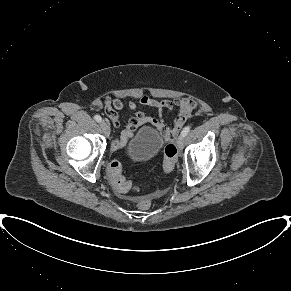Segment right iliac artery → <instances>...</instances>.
<instances>
[{
    "mask_svg": "<svg viewBox=\"0 0 291 291\" xmlns=\"http://www.w3.org/2000/svg\"><path fill=\"white\" fill-rule=\"evenodd\" d=\"M94 119H95L97 122H101V121H102V118H101V116H99V115H95V116H94Z\"/></svg>",
    "mask_w": 291,
    "mask_h": 291,
    "instance_id": "1",
    "label": "right iliac artery"
}]
</instances>
